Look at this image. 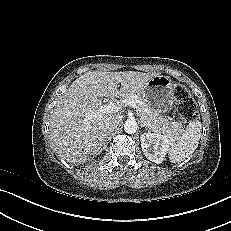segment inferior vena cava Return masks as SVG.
Here are the masks:
<instances>
[{"mask_svg":"<svg viewBox=\"0 0 231 231\" xmlns=\"http://www.w3.org/2000/svg\"><path fill=\"white\" fill-rule=\"evenodd\" d=\"M121 119L119 118H110L105 122V128L107 131H112L120 123Z\"/></svg>","mask_w":231,"mask_h":231,"instance_id":"obj_1","label":"inferior vena cava"}]
</instances>
